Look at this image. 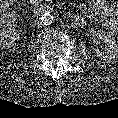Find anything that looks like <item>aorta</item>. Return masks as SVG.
Segmentation results:
<instances>
[{"instance_id":"762f6f07","label":"aorta","mask_w":118,"mask_h":118,"mask_svg":"<svg viewBox=\"0 0 118 118\" xmlns=\"http://www.w3.org/2000/svg\"><path fill=\"white\" fill-rule=\"evenodd\" d=\"M41 21L44 25L48 26V25H51L54 22V17L51 13L46 12L42 15Z\"/></svg>"}]
</instances>
